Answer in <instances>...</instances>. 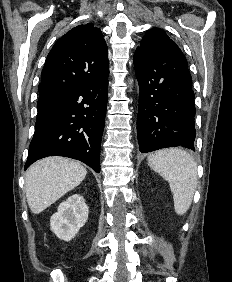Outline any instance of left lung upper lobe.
Returning a JSON list of instances; mask_svg holds the SVG:
<instances>
[{
  "instance_id": "left-lung-upper-lobe-1",
  "label": "left lung upper lobe",
  "mask_w": 232,
  "mask_h": 282,
  "mask_svg": "<svg viewBox=\"0 0 232 282\" xmlns=\"http://www.w3.org/2000/svg\"><path fill=\"white\" fill-rule=\"evenodd\" d=\"M139 47L148 51H157L165 47L179 48L160 28H153L147 31Z\"/></svg>"
}]
</instances>
